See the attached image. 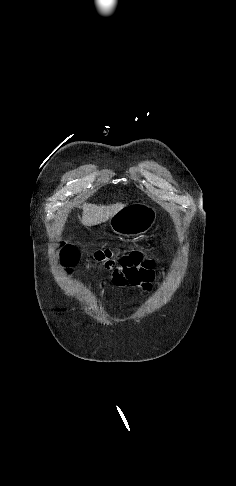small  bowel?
<instances>
[{"mask_svg": "<svg viewBox=\"0 0 236 486\" xmlns=\"http://www.w3.org/2000/svg\"><path fill=\"white\" fill-rule=\"evenodd\" d=\"M155 277L154 261L145 260L140 253L133 252L122 259L120 266L114 270L111 280L103 286L141 287L149 292L152 290Z\"/></svg>", "mask_w": 236, "mask_h": 486, "instance_id": "c3829d8e", "label": "small bowel"}]
</instances>
